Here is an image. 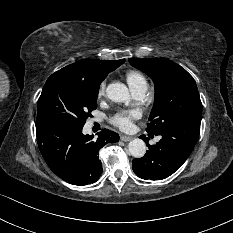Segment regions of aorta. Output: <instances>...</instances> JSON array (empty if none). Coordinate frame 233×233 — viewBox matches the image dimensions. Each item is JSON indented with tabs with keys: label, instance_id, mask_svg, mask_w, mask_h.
Here are the masks:
<instances>
[{
	"label": "aorta",
	"instance_id": "aorta-1",
	"mask_svg": "<svg viewBox=\"0 0 233 233\" xmlns=\"http://www.w3.org/2000/svg\"><path fill=\"white\" fill-rule=\"evenodd\" d=\"M108 98L113 102H128L130 99L126 85L120 82L111 83L106 88ZM129 153L135 158H142L147 150L146 144L142 139L136 138L128 144Z\"/></svg>",
	"mask_w": 233,
	"mask_h": 233
}]
</instances>
